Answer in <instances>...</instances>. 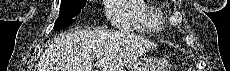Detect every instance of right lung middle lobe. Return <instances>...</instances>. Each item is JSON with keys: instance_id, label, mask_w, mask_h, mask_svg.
Instances as JSON below:
<instances>
[{"instance_id": "obj_1", "label": "right lung middle lobe", "mask_w": 230, "mask_h": 71, "mask_svg": "<svg viewBox=\"0 0 230 71\" xmlns=\"http://www.w3.org/2000/svg\"><path fill=\"white\" fill-rule=\"evenodd\" d=\"M87 0H61L59 17L55 21L54 29L61 30L71 25L86 5Z\"/></svg>"}]
</instances>
